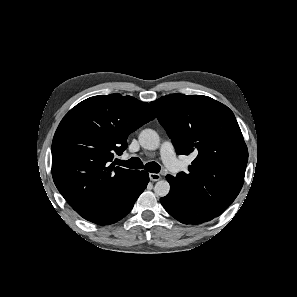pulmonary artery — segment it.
I'll return each mask as SVG.
<instances>
[{
	"label": "pulmonary artery",
	"mask_w": 297,
	"mask_h": 297,
	"mask_svg": "<svg viewBox=\"0 0 297 297\" xmlns=\"http://www.w3.org/2000/svg\"><path fill=\"white\" fill-rule=\"evenodd\" d=\"M161 158L166 167L171 171H176L178 161L175 156L174 146L170 141H165L161 146Z\"/></svg>",
	"instance_id": "e3ab8cb5"
}]
</instances>
